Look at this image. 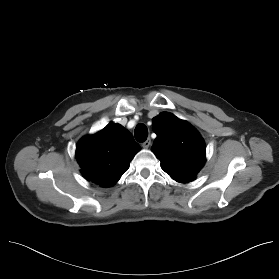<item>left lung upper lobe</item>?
<instances>
[{"mask_svg": "<svg viewBox=\"0 0 279 279\" xmlns=\"http://www.w3.org/2000/svg\"><path fill=\"white\" fill-rule=\"evenodd\" d=\"M153 131L157 137L151 150L162 169L177 182L193 181L205 163V143L198 131L167 112L153 118Z\"/></svg>", "mask_w": 279, "mask_h": 279, "instance_id": "5c2ea615", "label": "left lung upper lobe"}]
</instances>
